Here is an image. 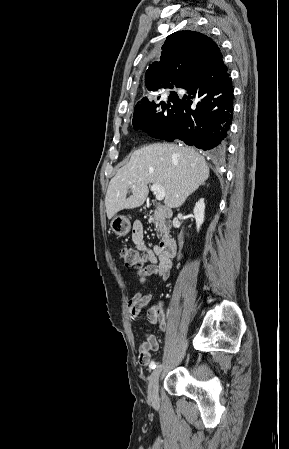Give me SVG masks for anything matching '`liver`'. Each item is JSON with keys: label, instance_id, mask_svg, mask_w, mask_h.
Listing matches in <instances>:
<instances>
[{"label": "liver", "instance_id": "obj_1", "mask_svg": "<svg viewBox=\"0 0 289 449\" xmlns=\"http://www.w3.org/2000/svg\"><path fill=\"white\" fill-rule=\"evenodd\" d=\"M208 177L204 157L193 148L167 143L141 147L109 183L105 197L107 217L111 219L120 210L143 205L149 183L165 189L167 208H178ZM129 190L132 195L127 198Z\"/></svg>", "mask_w": 289, "mask_h": 449}]
</instances>
